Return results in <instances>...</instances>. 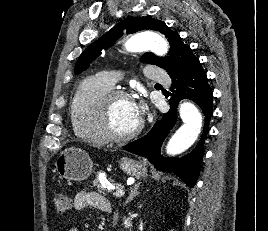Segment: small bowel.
Listing matches in <instances>:
<instances>
[{
  "mask_svg": "<svg viewBox=\"0 0 268 231\" xmlns=\"http://www.w3.org/2000/svg\"><path fill=\"white\" fill-rule=\"evenodd\" d=\"M73 208L76 211L93 208L105 214L113 212L110 202L102 194L94 191L78 192L73 199ZM68 231H79V229L71 227Z\"/></svg>",
  "mask_w": 268,
  "mask_h": 231,
  "instance_id": "small-bowel-1",
  "label": "small bowel"
}]
</instances>
